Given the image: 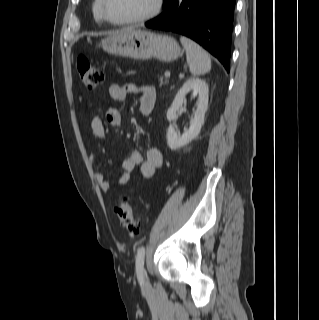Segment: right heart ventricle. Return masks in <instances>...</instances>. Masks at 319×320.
I'll list each match as a JSON object with an SVG mask.
<instances>
[{
    "label": "right heart ventricle",
    "instance_id": "e07e8e85",
    "mask_svg": "<svg viewBox=\"0 0 319 320\" xmlns=\"http://www.w3.org/2000/svg\"><path fill=\"white\" fill-rule=\"evenodd\" d=\"M92 11H93L94 18L97 22L103 23L105 21L101 15L100 0H94L92 5Z\"/></svg>",
    "mask_w": 319,
    "mask_h": 320
}]
</instances>
